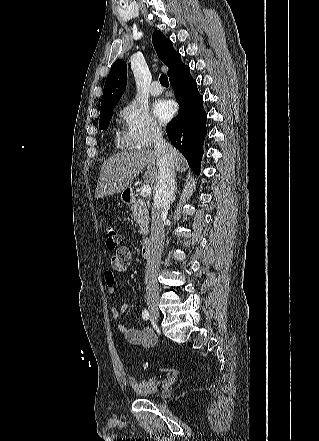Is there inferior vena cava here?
I'll use <instances>...</instances> for the list:
<instances>
[{"mask_svg":"<svg viewBox=\"0 0 319 441\" xmlns=\"http://www.w3.org/2000/svg\"><path fill=\"white\" fill-rule=\"evenodd\" d=\"M154 149L158 156L159 177L153 196L151 213V252L145 268L146 296H158V268L165 240V219L175 189V167L173 147L163 139L162 132L153 136Z\"/></svg>","mask_w":319,"mask_h":441,"instance_id":"inferior-vena-cava-1","label":"inferior vena cava"}]
</instances>
